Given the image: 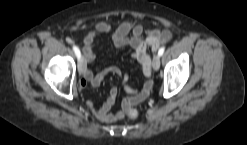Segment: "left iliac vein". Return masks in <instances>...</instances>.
Returning a JSON list of instances; mask_svg holds the SVG:
<instances>
[{"label": "left iliac vein", "mask_w": 247, "mask_h": 145, "mask_svg": "<svg viewBox=\"0 0 247 145\" xmlns=\"http://www.w3.org/2000/svg\"><path fill=\"white\" fill-rule=\"evenodd\" d=\"M152 66L155 71L159 69L160 67V56L159 55H155L153 57Z\"/></svg>", "instance_id": "4c4485c4"}]
</instances>
